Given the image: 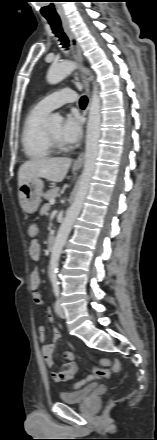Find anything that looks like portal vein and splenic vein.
Here are the masks:
<instances>
[{
	"label": "portal vein and splenic vein",
	"instance_id": "1",
	"mask_svg": "<svg viewBox=\"0 0 157 440\" xmlns=\"http://www.w3.org/2000/svg\"><path fill=\"white\" fill-rule=\"evenodd\" d=\"M54 203H55V200H54V199H51V200H50V204L53 205Z\"/></svg>",
	"mask_w": 157,
	"mask_h": 440
}]
</instances>
